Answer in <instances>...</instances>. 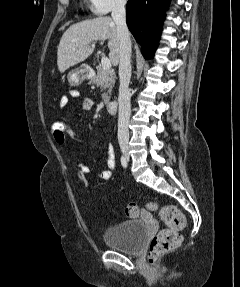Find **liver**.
<instances>
[{"mask_svg":"<svg viewBox=\"0 0 240 287\" xmlns=\"http://www.w3.org/2000/svg\"><path fill=\"white\" fill-rule=\"evenodd\" d=\"M108 40L109 58L113 65L119 62L117 27L111 17L101 16L71 25L62 35L57 50L58 70L63 73L87 59L94 51L96 41Z\"/></svg>","mask_w":240,"mask_h":287,"instance_id":"liver-1","label":"liver"}]
</instances>
